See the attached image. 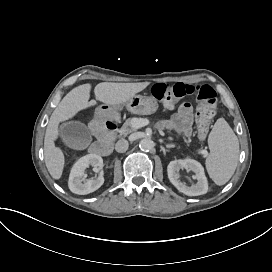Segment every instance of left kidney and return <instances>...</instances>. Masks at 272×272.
Wrapping results in <instances>:
<instances>
[{"label": "left kidney", "mask_w": 272, "mask_h": 272, "mask_svg": "<svg viewBox=\"0 0 272 272\" xmlns=\"http://www.w3.org/2000/svg\"><path fill=\"white\" fill-rule=\"evenodd\" d=\"M186 169L195 173L197 183L187 186L179 180V170ZM167 173L170 182L182 193L188 196H198L206 194L208 191V182L204 173L203 166L196 160L186 158L184 160L171 161L167 166Z\"/></svg>", "instance_id": "obj_1"}]
</instances>
